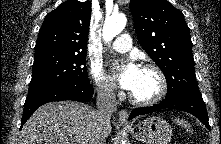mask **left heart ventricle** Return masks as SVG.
Wrapping results in <instances>:
<instances>
[{
	"instance_id": "obj_1",
	"label": "left heart ventricle",
	"mask_w": 221,
	"mask_h": 144,
	"mask_svg": "<svg viewBox=\"0 0 221 144\" xmlns=\"http://www.w3.org/2000/svg\"><path fill=\"white\" fill-rule=\"evenodd\" d=\"M158 78L149 70H140L137 83L131 93L140 99H147L154 96L158 90Z\"/></svg>"
}]
</instances>
